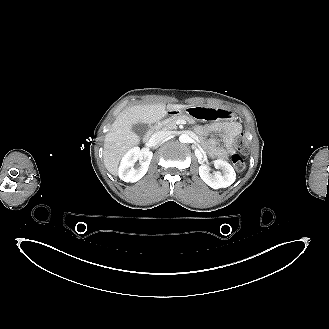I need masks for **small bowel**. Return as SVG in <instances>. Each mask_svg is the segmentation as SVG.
<instances>
[{
	"mask_svg": "<svg viewBox=\"0 0 329 329\" xmlns=\"http://www.w3.org/2000/svg\"><path fill=\"white\" fill-rule=\"evenodd\" d=\"M204 130L206 132H219L215 128L213 121H206L204 123ZM242 129L238 123H231L223 132H219L222 135V145L214 138L208 141V149L210 153L218 159L224 160L229 156L236 155V149L234 146L235 138L241 133Z\"/></svg>",
	"mask_w": 329,
	"mask_h": 329,
	"instance_id": "c3829d8e",
	"label": "small bowel"
}]
</instances>
